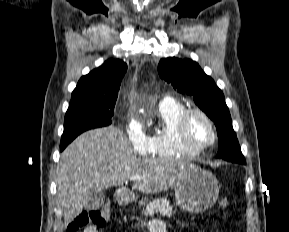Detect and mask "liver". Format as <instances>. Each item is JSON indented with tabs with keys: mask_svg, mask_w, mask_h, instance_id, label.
I'll return each mask as SVG.
<instances>
[{
	"mask_svg": "<svg viewBox=\"0 0 289 232\" xmlns=\"http://www.w3.org/2000/svg\"><path fill=\"white\" fill-rule=\"evenodd\" d=\"M193 165L172 159L138 158L125 134L114 126L87 131L62 152L56 172L57 199L67 226L87 202L90 189L123 186L138 175L133 187L145 194L167 191Z\"/></svg>",
	"mask_w": 289,
	"mask_h": 232,
	"instance_id": "1",
	"label": "liver"
}]
</instances>
